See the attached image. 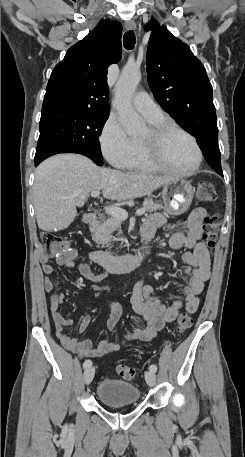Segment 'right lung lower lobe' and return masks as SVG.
<instances>
[{"label": "right lung lower lobe", "instance_id": "98d812e1", "mask_svg": "<svg viewBox=\"0 0 245 457\" xmlns=\"http://www.w3.org/2000/svg\"><path fill=\"white\" fill-rule=\"evenodd\" d=\"M49 156L46 155V156H43V157H40L38 159H34V162H35V166H37L40 162H42L44 159L48 158Z\"/></svg>", "mask_w": 245, "mask_h": 457}]
</instances>
